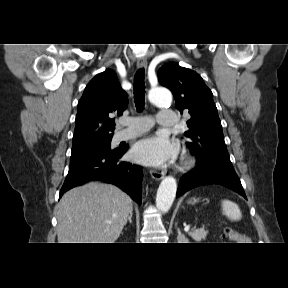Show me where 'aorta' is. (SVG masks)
Returning <instances> with one entry per match:
<instances>
[{
  "instance_id": "762f6f07",
  "label": "aorta",
  "mask_w": 288,
  "mask_h": 288,
  "mask_svg": "<svg viewBox=\"0 0 288 288\" xmlns=\"http://www.w3.org/2000/svg\"><path fill=\"white\" fill-rule=\"evenodd\" d=\"M149 100L160 107L170 106L172 102V95L170 91L163 88L151 89L148 94ZM177 183L172 176L163 178L159 185L156 195V207L162 212L166 213L171 208L176 196Z\"/></svg>"
}]
</instances>
